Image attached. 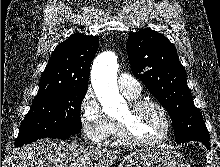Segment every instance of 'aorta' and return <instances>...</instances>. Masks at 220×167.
I'll use <instances>...</instances> for the list:
<instances>
[{
	"instance_id": "762f6f07",
	"label": "aorta",
	"mask_w": 220,
	"mask_h": 167,
	"mask_svg": "<svg viewBox=\"0 0 220 167\" xmlns=\"http://www.w3.org/2000/svg\"><path fill=\"white\" fill-rule=\"evenodd\" d=\"M117 71V57L113 52L100 54L92 66V85L104 112L108 115L115 114L125 103L119 94Z\"/></svg>"
}]
</instances>
